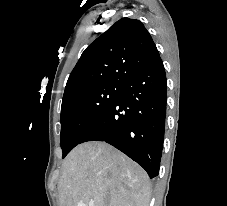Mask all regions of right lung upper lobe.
Masks as SVG:
<instances>
[{"mask_svg":"<svg viewBox=\"0 0 227 206\" xmlns=\"http://www.w3.org/2000/svg\"><path fill=\"white\" fill-rule=\"evenodd\" d=\"M160 58L141 21L122 18L93 41L72 70L63 99L86 88L120 82Z\"/></svg>","mask_w":227,"mask_h":206,"instance_id":"right-lung-upper-lobe-1","label":"right lung upper lobe"}]
</instances>
